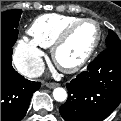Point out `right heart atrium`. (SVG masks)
<instances>
[{
    "label": "right heart atrium",
    "mask_w": 121,
    "mask_h": 121,
    "mask_svg": "<svg viewBox=\"0 0 121 121\" xmlns=\"http://www.w3.org/2000/svg\"><path fill=\"white\" fill-rule=\"evenodd\" d=\"M43 55L36 43L27 37H21L15 45L13 62L21 74L32 77L42 70Z\"/></svg>",
    "instance_id": "d8ad5b80"
}]
</instances>
